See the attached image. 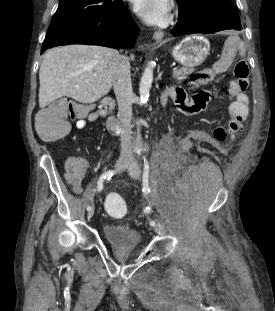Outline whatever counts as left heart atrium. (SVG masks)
I'll return each instance as SVG.
<instances>
[{
    "label": "left heart atrium",
    "mask_w": 275,
    "mask_h": 311,
    "mask_svg": "<svg viewBox=\"0 0 275 311\" xmlns=\"http://www.w3.org/2000/svg\"><path fill=\"white\" fill-rule=\"evenodd\" d=\"M135 13L147 24L166 25L171 17L170 0H132Z\"/></svg>",
    "instance_id": "39dd6f15"
}]
</instances>
